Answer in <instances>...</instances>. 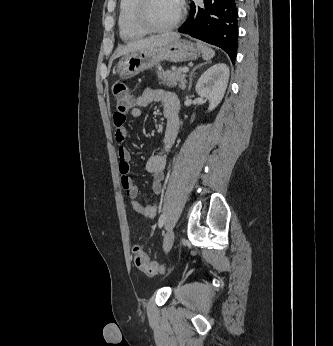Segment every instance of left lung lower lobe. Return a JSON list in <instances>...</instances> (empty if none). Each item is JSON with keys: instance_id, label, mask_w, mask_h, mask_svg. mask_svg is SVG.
<instances>
[{"instance_id": "0a47b994", "label": "left lung lower lobe", "mask_w": 333, "mask_h": 346, "mask_svg": "<svg viewBox=\"0 0 333 346\" xmlns=\"http://www.w3.org/2000/svg\"><path fill=\"white\" fill-rule=\"evenodd\" d=\"M238 12L235 0L191 3L189 18L179 32L222 48L234 63L238 45Z\"/></svg>"}]
</instances>
